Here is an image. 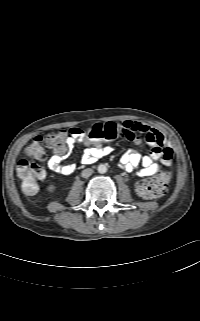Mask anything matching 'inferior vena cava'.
I'll use <instances>...</instances> for the list:
<instances>
[{
    "label": "inferior vena cava",
    "mask_w": 200,
    "mask_h": 321,
    "mask_svg": "<svg viewBox=\"0 0 200 321\" xmlns=\"http://www.w3.org/2000/svg\"><path fill=\"white\" fill-rule=\"evenodd\" d=\"M92 173H93V170L91 168H87L82 171L81 175L83 178H88L89 176L92 175Z\"/></svg>",
    "instance_id": "602c4592"
}]
</instances>
